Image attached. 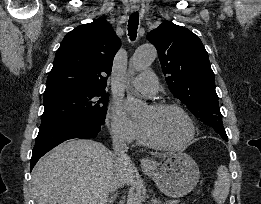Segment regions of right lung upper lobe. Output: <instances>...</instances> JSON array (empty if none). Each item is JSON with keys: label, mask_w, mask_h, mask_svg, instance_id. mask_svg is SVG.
I'll use <instances>...</instances> for the list:
<instances>
[{"label": "right lung upper lobe", "mask_w": 261, "mask_h": 204, "mask_svg": "<svg viewBox=\"0 0 261 204\" xmlns=\"http://www.w3.org/2000/svg\"><path fill=\"white\" fill-rule=\"evenodd\" d=\"M121 41L103 18L66 34L57 50L44 94L62 90H104Z\"/></svg>", "instance_id": "cb5924a9"}]
</instances>
